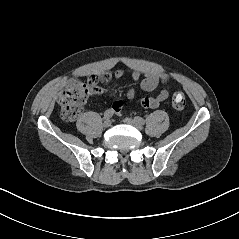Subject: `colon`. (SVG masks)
<instances>
[{"label":"colon","instance_id":"obj_1","mask_svg":"<svg viewBox=\"0 0 239 239\" xmlns=\"http://www.w3.org/2000/svg\"><path fill=\"white\" fill-rule=\"evenodd\" d=\"M97 84L95 77H90L87 82L73 79L58 97L61 117L65 121L75 120L82 112L83 106L91 94L92 87ZM173 108L182 111L185 106V96L182 92L176 91L172 98Z\"/></svg>","mask_w":239,"mask_h":239}]
</instances>
